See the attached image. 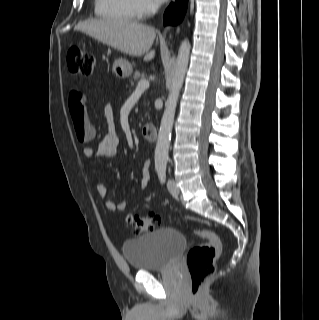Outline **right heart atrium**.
<instances>
[{"label":"right heart atrium","instance_id":"1","mask_svg":"<svg viewBox=\"0 0 319 320\" xmlns=\"http://www.w3.org/2000/svg\"><path fill=\"white\" fill-rule=\"evenodd\" d=\"M135 16L144 18L158 9L157 0H131Z\"/></svg>","mask_w":319,"mask_h":320}]
</instances>
